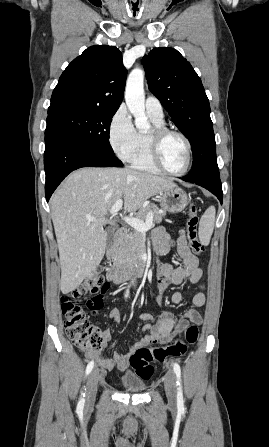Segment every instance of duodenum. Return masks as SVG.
Here are the masks:
<instances>
[{
  "label": "duodenum",
  "mask_w": 269,
  "mask_h": 447,
  "mask_svg": "<svg viewBox=\"0 0 269 447\" xmlns=\"http://www.w3.org/2000/svg\"><path fill=\"white\" fill-rule=\"evenodd\" d=\"M124 228H118L114 234L115 243L119 242L125 235ZM147 255L140 252L129 264L110 263L106 270L107 279L119 284L133 278L142 276L146 271Z\"/></svg>",
  "instance_id": "1"
}]
</instances>
